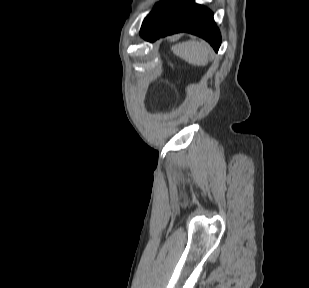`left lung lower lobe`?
I'll return each mask as SVG.
<instances>
[{
  "label": "left lung lower lobe",
  "instance_id": "0a47b994",
  "mask_svg": "<svg viewBox=\"0 0 309 288\" xmlns=\"http://www.w3.org/2000/svg\"><path fill=\"white\" fill-rule=\"evenodd\" d=\"M177 32H189L204 38L216 52L221 44L213 13L192 0L158 3L144 19L140 35L147 41H154Z\"/></svg>",
  "mask_w": 309,
  "mask_h": 288
}]
</instances>
